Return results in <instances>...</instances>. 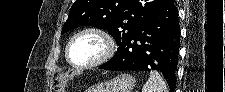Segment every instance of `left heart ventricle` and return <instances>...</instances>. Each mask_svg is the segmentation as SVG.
<instances>
[{"mask_svg": "<svg viewBox=\"0 0 225 92\" xmlns=\"http://www.w3.org/2000/svg\"><path fill=\"white\" fill-rule=\"evenodd\" d=\"M103 52V41L96 35L85 34L73 42L70 48V58L77 64H85L96 60Z\"/></svg>", "mask_w": 225, "mask_h": 92, "instance_id": "b2bd125f", "label": "left heart ventricle"}]
</instances>
